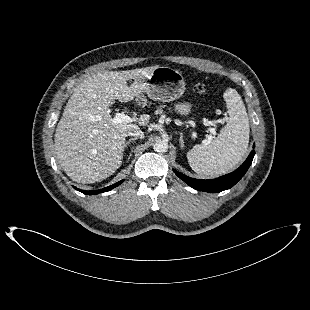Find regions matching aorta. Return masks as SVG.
Instances as JSON below:
<instances>
[{"label": "aorta", "mask_w": 310, "mask_h": 310, "mask_svg": "<svg viewBox=\"0 0 310 310\" xmlns=\"http://www.w3.org/2000/svg\"><path fill=\"white\" fill-rule=\"evenodd\" d=\"M153 149L158 153H165L168 150V142L165 140H157L153 145Z\"/></svg>", "instance_id": "1"}]
</instances>
